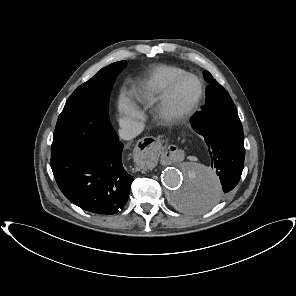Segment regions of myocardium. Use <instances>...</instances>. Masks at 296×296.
<instances>
[{"mask_svg":"<svg viewBox=\"0 0 296 296\" xmlns=\"http://www.w3.org/2000/svg\"><path fill=\"white\" fill-rule=\"evenodd\" d=\"M194 79L199 87V92L197 97L192 103L184 108H176L173 103V93L176 87L185 79ZM205 94L204 84L200 78L191 73H185L176 79H174L164 90L161 95L160 102L158 105L159 117L167 123H178L187 118H189L200 105Z\"/></svg>","mask_w":296,"mask_h":296,"instance_id":"f54148a6","label":"myocardium"}]
</instances>
